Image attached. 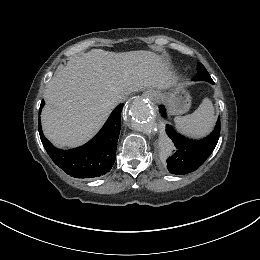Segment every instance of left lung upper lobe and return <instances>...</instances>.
<instances>
[{"label": "left lung upper lobe", "instance_id": "left-lung-upper-lobe-1", "mask_svg": "<svg viewBox=\"0 0 260 260\" xmlns=\"http://www.w3.org/2000/svg\"><path fill=\"white\" fill-rule=\"evenodd\" d=\"M194 80H204L213 83L212 78L210 77L209 73L202 64L199 65L198 75L194 78Z\"/></svg>", "mask_w": 260, "mask_h": 260}]
</instances>
